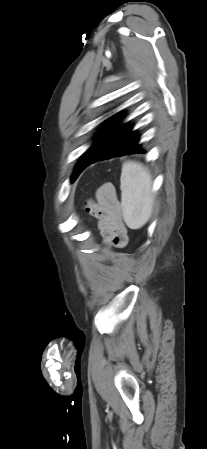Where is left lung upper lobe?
<instances>
[{
    "label": "left lung upper lobe",
    "instance_id": "obj_1",
    "mask_svg": "<svg viewBox=\"0 0 207 449\" xmlns=\"http://www.w3.org/2000/svg\"><path fill=\"white\" fill-rule=\"evenodd\" d=\"M110 130L105 129L104 132L99 136V139L82 155L81 159L75 167L72 180L74 181L80 172L84 170L90 163V161L97 155L105 140L107 139Z\"/></svg>",
    "mask_w": 207,
    "mask_h": 449
}]
</instances>
